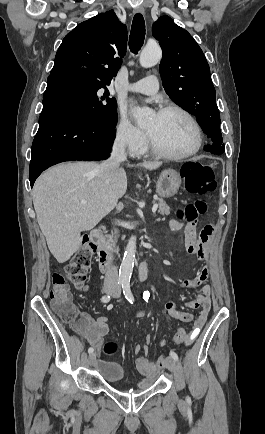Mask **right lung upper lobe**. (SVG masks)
<instances>
[{"instance_id": "cb5924a9", "label": "right lung upper lobe", "mask_w": 265, "mask_h": 434, "mask_svg": "<svg viewBox=\"0 0 265 434\" xmlns=\"http://www.w3.org/2000/svg\"><path fill=\"white\" fill-rule=\"evenodd\" d=\"M127 29L113 10L80 23L63 39L49 77L70 74L111 82L126 54Z\"/></svg>"}]
</instances>
